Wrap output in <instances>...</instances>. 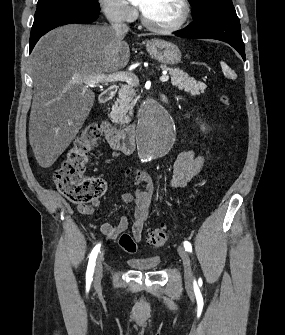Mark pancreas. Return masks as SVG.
Instances as JSON below:
<instances>
[{
  "label": "pancreas",
  "instance_id": "pancreas-1",
  "mask_svg": "<svg viewBox=\"0 0 285 335\" xmlns=\"http://www.w3.org/2000/svg\"><path fill=\"white\" fill-rule=\"evenodd\" d=\"M162 70H167L171 76L172 86H177L178 90H184V92H190L191 96H200L204 94L206 90V84L203 82H197L195 78H189L186 72L179 70V68H166L161 66ZM134 86H122L119 94L120 100H117L116 104L112 106L113 112H108L107 117L111 119L116 125H127L131 122L129 116L132 114L134 96H137Z\"/></svg>",
  "mask_w": 285,
  "mask_h": 335
}]
</instances>
